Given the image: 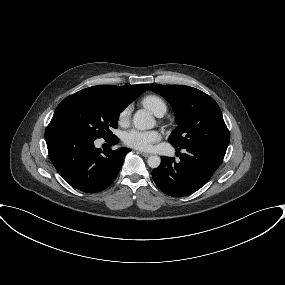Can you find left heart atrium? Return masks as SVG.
I'll list each match as a JSON object with an SVG mask.
<instances>
[{
  "label": "left heart atrium",
  "mask_w": 285,
  "mask_h": 285,
  "mask_svg": "<svg viewBox=\"0 0 285 285\" xmlns=\"http://www.w3.org/2000/svg\"><path fill=\"white\" fill-rule=\"evenodd\" d=\"M160 139L161 134L155 130L130 129L123 135V142L127 146L141 151L150 150Z\"/></svg>",
  "instance_id": "39dd6f15"
}]
</instances>
